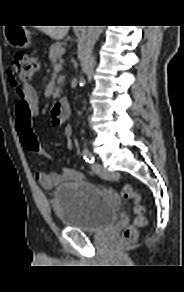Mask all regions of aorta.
<instances>
[{"label": "aorta", "instance_id": "1", "mask_svg": "<svg viewBox=\"0 0 184 292\" xmlns=\"http://www.w3.org/2000/svg\"><path fill=\"white\" fill-rule=\"evenodd\" d=\"M103 26H88L87 34H86V42L84 45V49L81 53L82 60V72L85 73L87 71L88 62L93 51V48L99 39V36L102 32ZM80 81H84V78L81 76Z\"/></svg>", "mask_w": 184, "mask_h": 292}]
</instances>
